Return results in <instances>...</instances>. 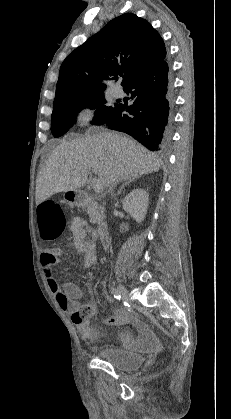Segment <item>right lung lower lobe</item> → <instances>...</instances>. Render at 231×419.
Masks as SVG:
<instances>
[{
    "instance_id": "obj_1",
    "label": "right lung lower lobe",
    "mask_w": 231,
    "mask_h": 419,
    "mask_svg": "<svg viewBox=\"0 0 231 419\" xmlns=\"http://www.w3.org/2000/svg\"><path fill=\"white\" fill-rule=\"evenodd\" d=\"M164 59L129 83L124 89L134 100L118 104L101 122L108 128L133 136L152 151H163L172 133L174 92ZM128 112L129 114H125Z\"/></svg>"
}]
</instances>
